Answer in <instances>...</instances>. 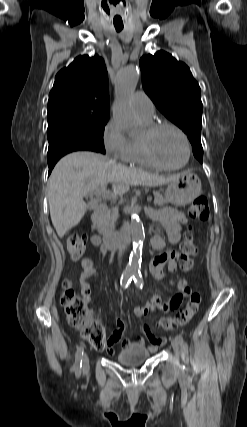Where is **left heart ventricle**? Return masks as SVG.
<instances>
[{
	"mask_svg": "<svg viewBox=\"0 0 247 427\" xmlns=\"http://www.w3.org/2000/svg\"><path fill=\"white\" fill-rule=\"evenodd\" d=\"M152 151L160 163L168 166L180 165L185 159L184 142L171 128H163L154 135Z\"/></svg>",
	"mask_w": 247,
	"mask_h": 427,
	"instance_id": "1",
	"label": "left heart ventricle"
}]
</instances>
